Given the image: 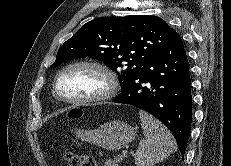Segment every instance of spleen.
<instances>
[{
  "mask_svg": "<svg viewBox=\"0 0 231 166\" xmlns=\"http://www.w3.org/2000/svg\"><path fill=\"white\" fill-rule=\"evenodd\" d=\"M144 139L135 153L136 166H153L177 150L171 132L156 118L141 110L139 112Z\"/></svg>",
  "mask_w": 231,
  "mask_h": 166,
  "instance_id": "3e777b00",
  "label": "spleen"
}]
</instances>
